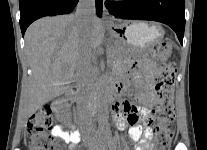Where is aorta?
<instances>
[{
	"label": "aorta",
	"mask_w": 207,
	"mask_h": 150,
	"mask_svg": "<svg viewBox=\"0 0 207 150\" xmlns=\"http://www.w3.org/2000/svg\"><path fill=\"white\" fill-rule=\"evenodd\" d=\"M98 102L101 111H106L108 107L107 92L105 86L100 83L98 88Z\"/></svg>",
	"instance_id": "762f6f07"
}]
</instances>
